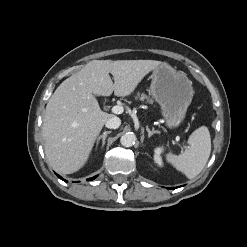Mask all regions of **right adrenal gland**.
<instances>
[{
  "label": "right adrenal gland",
  "instance_id": "right-adrenal-gland-1",
  "mask_svg": "<svg viewBox=\"0 0 247 247\" xmlns=\"http://www.w3.org/2000/svg\"><path fill=\"white\" fill-rule=\"evenodd\" d=\"M110 133H111V131H105V132H103L102 135H100V136L97 138V145H96V148L98 147V145H99L101 139H102V146H101V147L104 146L106 137H107V135L110 134Z\"/></svg>",
  "mask_w": 247,
  "mask_h": 247
}]
</instances>
